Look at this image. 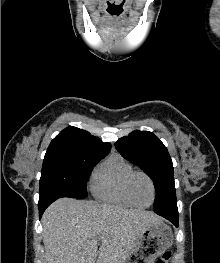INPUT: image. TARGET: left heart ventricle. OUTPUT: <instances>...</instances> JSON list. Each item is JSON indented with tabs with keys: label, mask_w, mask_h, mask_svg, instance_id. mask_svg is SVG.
<instances>
[{
	"label": "left heart ventricle",
	"mask_w": 220,
	"mask_h": 263,
	"mask_svg": "<svg viewBox=\"0 0 220 263\" xmlns=\"http://www.w3.org/2000/svg\"><path fill=\"white\" fill-rule=\"evenodd\" d=\"M133 195L136 202L140 205H147L152 199V190L148 181L141 176L135 178L133 182Z\"/></svg>",
	"instance_id": "left-heart-ventricle-1"
}]
</instances>
